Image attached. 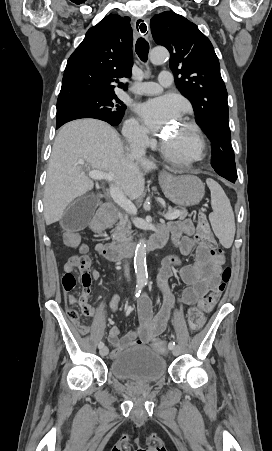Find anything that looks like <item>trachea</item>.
<instances>
[{
  "label": "trachea",
  "instance_id": "3493384b",
  "mask_svg": "<svg viewBox=\"0 0 272 451\" xmlns=\"http://www.w3.org/2000/svg\"><path fill=\"white\" fill-rule=\"evenodd\" d=\"M139 23H140V27L146 29V25H145V23H142V20H139L137 25H139ZM135 50H136L137 55L139 56V58L142 61H144V62L147 61L148 52H149V43L144 38H139L137 40Z\"/></svg>",
  "mask_w": 272,
  "mask_h": 451
}]
</instances>
